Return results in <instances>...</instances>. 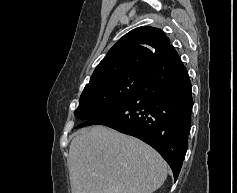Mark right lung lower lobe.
<instances>
[{
	"label": "right lung lower lobe",
	"mask_w": 237,
	"mask_h": 193,
	"mask_svg": "<svg viewBox=\"0 0 237 193\" xmlns=\"http://www.w3.org/2000/svg\"><path fill=\"white\" fill-rule=\"evenodd\" d=\"M192 102L188 72L173 51L156 61L125 103L77 128L105 125L141 139L166 160L176 181L187 150Z\"/></svg>",
	"instance_id": "1"
}]
</instances>
